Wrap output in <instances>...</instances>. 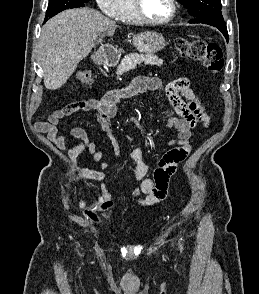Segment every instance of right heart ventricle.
<instances>
[{
  "label": "right heart ventricle",
  "instance_id": "right-heart-ventricle-1",
  "mask_svg": "<svg viewBox=\"0 0 259 294\" xmlns=\"http://www.w3.org/2000/svg\"><path fill=\"white\" fill-rule=\"evenodd\" d=\"M117 19L123 23L130 24H135L139 22L135 16L131 0L122 1V7L117 16Z\"/></svg>",
  "mask_w": 259,
  "mask_h": 294
}]
</instances>
